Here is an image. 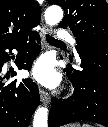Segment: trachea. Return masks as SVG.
Instances as JSON below:
<instances>
[{"label": "trachea", "instance_id": "1", "mask_svg": "<svg viewBox=\"0 0 108 127\" xmlns=\"http://www.w3.org/2000/svg\"><path fill=\"white\" fill-rule=\"evenodd\" d=\"M46 40H47V42L50 43V44H62V43H63L62 41L57 40V39L51 37V36L48 35V34L46 35Z\"/></svg>", "mask_w": 108, "mask_h": 127}]
</instances>
